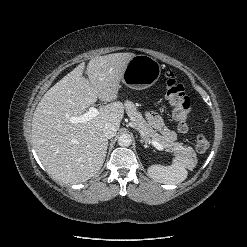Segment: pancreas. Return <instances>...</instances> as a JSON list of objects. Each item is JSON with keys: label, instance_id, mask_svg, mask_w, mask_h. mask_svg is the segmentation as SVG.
<instances>
[{"label": "pancreas", "instance_id": "1", "mask_svg": "<svg viewBox=\"0 0 247 247\" xmlns=\"http://www.w3.org/2000/svg\"><path fill=\"white\" fill-rule=\"evenodd\" d=\"M126 112L139 131L143 141L150 143L156 141L161 144L167 151L173 152L175 156L190 158L195 155L190 146H184L182 143L174 142L167 136L158 134L143 118L142 114L137 111L136 106L131 101L125 102Z\"/></svg>", "mask_w": 247, "mask_h": 247}]
</instances>
